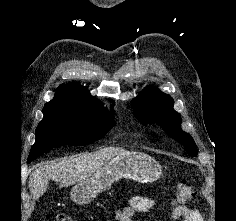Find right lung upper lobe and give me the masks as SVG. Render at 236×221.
Returning a JSON list of instances; mask_svg holds the SVG:
<instances>
[{
	"label": "right lung upper lobe",
	"instance_id": "1",
	"mask_svg": "<svg viewBox=\"0 0 236 221\" xmlns=\"http://www.w3.org/2000/svg\"><path fill=\"white\" fill-rule=\"evenodd\" d=\"M45 106H67L83 110L103 107L99 100L91 96L85 87L72 83L59 86L54 98Z\"/></svg>",
	"mask_w": 236,
	"mask_h": 221
}]
</instances>
